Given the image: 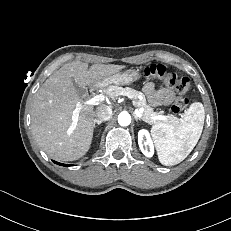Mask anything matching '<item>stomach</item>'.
Segmentation results:
<instances>
[{
	"mask_svg": "<svg viewBox=\"0 0 231 231\" xmlns=\"http://www.w3.org/2000/svg\"><path fill=\"white\" fill-rule=\"evenodd\" d=\"M139 76H140L139 70L132 68V69L124 70L121 72L118 71V72L104 78L100 82L96 83V85L100 86V87H105L109 84L129 85L132 82L139 79Z\"/></svg>",
	"mask_w": 231,
	"mask_h": 231,
	"instance_id": "1",
	"label": "stomach"
}]
</instances>
